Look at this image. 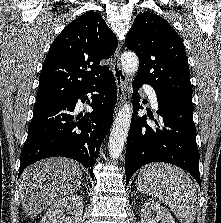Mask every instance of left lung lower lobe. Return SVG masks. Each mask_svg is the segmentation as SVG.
I'll use <instances>...</instances> for the list:
<instances>
[{"instance_id":"left-lung-lower-lobe-1","label":"left lung lower lobe","mask_w":221,"mask_h":223,"mask_svg":"<svg viewBox=\"0 0 221 223\" xmlns=\"http://www.w3.org/2000/svg\"><path fill=\"white\" fill-rule=\"evenodd\" d=\"M142 83L134 80V112L142 109L137 90ZM157 126L147 123L146 115L133 116L127 138L125 171L126 185L140 167L151 162H166L189 172L201 186L199 175V152L196 145L194 106L157 94ZM151 119L152 116H149Z\"/></svg>"}]
</instances>
